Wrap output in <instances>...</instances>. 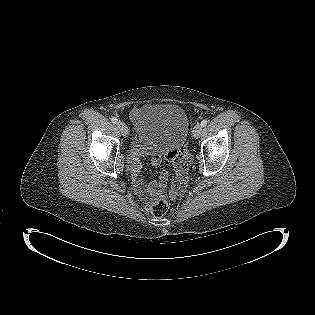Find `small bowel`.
<instances>
[{"label": "small bowel", "mask_w": 315, "mask_h": 315, "mask_svg": "<svg viewBox=\"0 0 315 315\" xmlns=\"http://www.w3.org/2000/svg\"><path fill=\"white\" fill-rule=\"evenodd\" d=\"M135 111H133V115ZM167 156L169 160H171L178 172V174L185 173L186 168V161L182 157L181 153L171 149L168 151ZM151 162L154 166H159L161 163V155L154 154L151 158ZM129 164L132 171L133 176V184L136 189L137 194L143 200H149L154 196H157L161 193V191L166 186L168 180V173L167 171H163L159 177L158 181H153L148 185H145L144 181L142 180L140 174L142 171V163L139 160V153L137 151H133L129 158Z\"/></svg>", "instance_id": "obj_1"}]
</instances>
